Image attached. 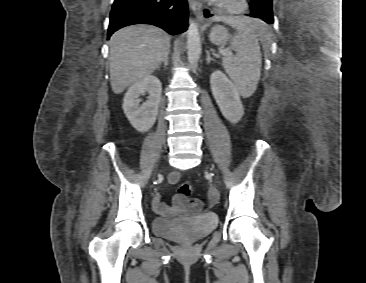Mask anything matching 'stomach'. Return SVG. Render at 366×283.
<instances>
[{
	"mask_svg": "<svg viewBox=\"0 0 366 283\" xmlns=\"http://www.w3.org/2000/svg\"><path fill=\"white\" fill-rule=\"evenodd\" d=\"M209 39L215 45H224L229 39V34L226 28L216 26L211 30Z\"/></svg>",
	"mask_w": 366,
	"mask_h": 283,
	"instance_id": "1",
	"label": "stomach"
}]
</instances>
